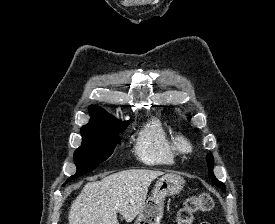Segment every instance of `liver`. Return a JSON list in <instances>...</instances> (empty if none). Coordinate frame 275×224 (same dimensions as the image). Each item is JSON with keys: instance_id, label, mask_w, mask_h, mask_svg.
Instances as JSON below:
<instances>
[{"instance_id": "liver-1", "label": "liver", "mask_w": 275, "mask_h": 224, "mask_svg": "<svg viewBox=\"0 0 275 224\" xmlns=\"http://www.w3.org/2000/svg\"><path fill=\"white\" fill-rule=\"evenodd\" d=\"M161 175L131 169L88 182L70 207L69 224H119L117 212L130 223L143 209L151 182Z\"/></svg>"}]
</instances>
